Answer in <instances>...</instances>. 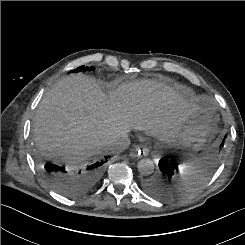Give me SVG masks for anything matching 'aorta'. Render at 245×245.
Returning <instances> with one entry per match:
<instances>
[{
    "mask_svg": "<svg viewBox=\"0 0 245 245\" xmlns=\"http://www.w3.org/2000/svg\"><path fill=\"white\" fill-rule=\"evenodd\" d=\"M155 166L152 160L148 158L141 159L138 162V171L143 176L151 175L154 172Z\"/></svg>",
    "mask_w": 245,
    "mask_h": 245,
    "instance_id": "762f6f07",
    "label": "aorta"
}]
</instances>
